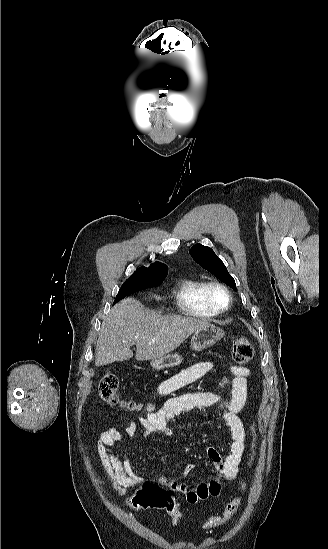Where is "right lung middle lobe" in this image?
<instances>
[{"instance_id": "obj_1", "label": "right lung middle lobe", "mask_w": 328, "mask_h": 549, "mask_svg": "<svg viewBox=\"0 0 328 549\" xmlns=\"http://www.w3.org/2000/svg\"><path fill=\"white\" fill-rule=\"evenodd\" d=\"M166 275L167 272L151 269H144L134 273L120 288L114 304L132 293L161 284Z\"/></svg>"}]
</instances>
